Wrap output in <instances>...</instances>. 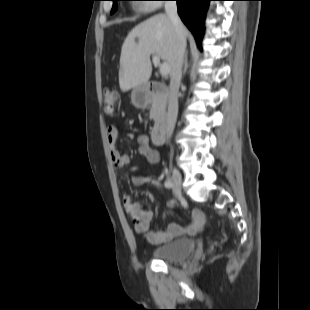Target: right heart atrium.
Instances as JSON below:
<instances>
[{"mask_svg":"<svg viewBox=\"0 0 310 310\" xmlns=\"http://www.w3.org/2000/svg\"><path fill=\"white\" fill-rule=\"evenodd\" d=\"M148 1H157V0H148ZM157 7H158L157 4H150V5L148 6L149 9H155V8H157Z\"/></svg>","mask_w":310,"mask_h":310,"instance_id":"1","label":"right heart atrium"}]
</instances>
